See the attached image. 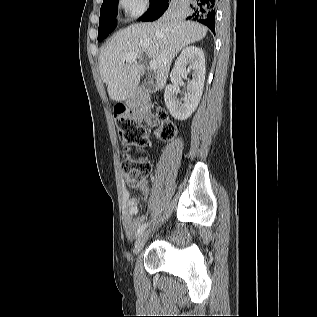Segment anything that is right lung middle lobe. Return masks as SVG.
<instances>
[{"mask_svg":"<svg viewBox=\"0 0 317 317\" xmlns=\"http://www.w3.org/2000/svg\"><path fill=\"white\" fill-rule=\"evenodd\" d=\"M119 0H103L100 9V23L98 29V41L106 38L116 26L117 5ZM161 0H150L149 10L142 16L148 14ZM177 0H172L169 5L173 6ZM141 17V18H142ZM140 18V19H141Z\"/></svg>","mask_w":317,"mask_h":317,"instance_id":"right-lung-middle-lobe-1","label":"right lung middle lobe"}]
</instances>
